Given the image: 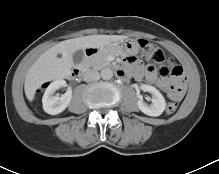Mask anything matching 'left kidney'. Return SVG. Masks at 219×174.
Returning <instances> with one entry per match:
<instances>
[{
  "mask_svg": "<svg viewBox=\"0 0 219 174\" xmlns=\"http://www.w3.org/2000/svg\"><path fill=\"white\" fill-rule=\"evenodd\" d=\"M141 89L145 92L151 93L152 104L148 105L143 99H139L137 102L138 108L148 116H160L166 108V102L163 95L155 87L150 85L142 84Z\"/></svg>",
  "mask_w": 219,
  "mask_h": 174,
  "instance_id": "obj_1",
  "label": "left kidney"
}]
</instances>
